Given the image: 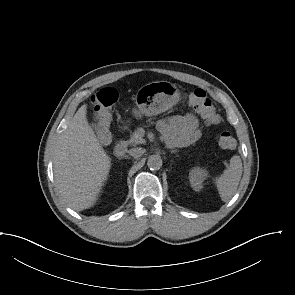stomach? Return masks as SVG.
I'll list each match as a JSON object with an SVG mask.
<instances>
[{
	"instance_id": "stomach-1",
	"label": "stomach",
	"mask_w": 295,
	"mask_h": 295,
	"mask_svg": "<svg viewBox=\"0 0 295 295\" xmlns=\"http://www.w3.org/2000/svg\"><path fill=\"white\" fill-rule=\"evenodd\" d=\"M179 99L180 92L174 84L157 81L140 88L136 103L146 116H154L173 107Z\"/></svg>"
}]
</instances>
